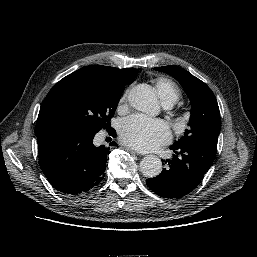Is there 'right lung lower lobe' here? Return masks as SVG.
Instances as JSON below:
<instances>
[{
  "label": "right lung lower lobe",
  "instance_id": "obj_1",
  "mask_svg": "<svg viewBox=\"0 0 257 257\" xmlns=\"http://www.w3.org/2000/svg\"><path fill=\"white\" fill-rule=\"evenodd\" d=\"M95 134L60 127L37 140L40 167L56 189L79 194L102 181L110 147H96L93 144ZM115 134L113 129L111 135L115 137Z\"/></svg>",
  "mask_w": 257,
  "mask_h": 257
}]
</instances>
